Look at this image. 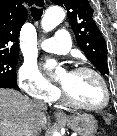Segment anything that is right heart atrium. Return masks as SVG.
Returning a JSON list of instances; mask_svg holds the SVG:
<instances>
[{"label":"right heart atrium","instance_id":"obj_1","mask_svg":"<svg viewBox=\"0 0 117 136\" xmlns=\"http://www.w3.org/2000/svg\"><path fill=\"white\" fill-rule=\"evenodd\" d=\"M21 89L30 97L44 102H52L58 96V90L48 82L32 61H25L18 74Z\"/></svg>","mask_w":117,"mask_h":136}]
</instances>
